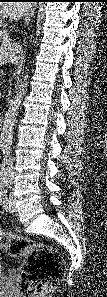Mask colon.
I'll return each instance as SVG.
<instances>
[{
    "label": "colon",
    "mask_w": 107,
    "mask_h": 297,
    "mask_svg": "<svg viewBox=\"0 0 107 297\" xmlns=\"http://www.w3.org/2000/svg\"><path fill=\"white\" fill-rule=\"evenodd\" d=\"M0 247L11 256L24 258L18 284L26 297H41L51 292L64 274L61 256L48 245L2 231Z\"/></svg>",
    "instance_id": "colon-1"
}]
</instances>
